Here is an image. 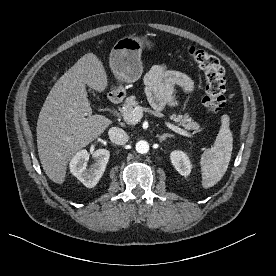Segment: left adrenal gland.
<instances>
[{"label": "left adrenal gland", "instance_id": "obj_1", "mask_svg": "<svg viewBox=\"0 0 276 276\" xmlns=\"http://www.w3.org/2000/svg\"><path fill=\"white\" fill-rule=\"evenodd\" d=\"M170 138V137H173V135L172 134H168V133H165V134H163V135H158V139H159V141L160 142H162V141H165L166 140V138Z\"/></svg>", "mask_w": 276, "mask_h": 276}]
</instances>
